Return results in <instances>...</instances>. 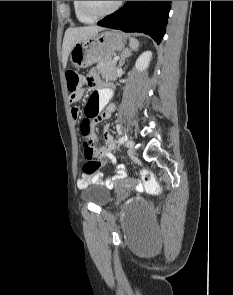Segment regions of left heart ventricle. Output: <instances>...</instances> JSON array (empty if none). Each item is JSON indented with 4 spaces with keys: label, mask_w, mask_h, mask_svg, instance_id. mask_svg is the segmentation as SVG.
Segmentation results:
<instances>
[{
    "label": "left heart ventricle",
    "mask_w": 233,
    "mask_h": 295,
    "mask_svg": "<svg viewBox=\"0 0 233 295\" xmlns=\"http://www.w3.org/2000/svg\"><path fill=\"white\" fill-rule=\"evenodd\" d=\"M88 8L95 12V13H101L104 11L109 10L116 1H86Z\"/></svg>",
    "instance_id": "obj_1"
}]
</instances>
